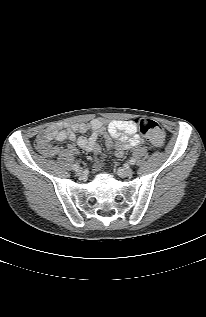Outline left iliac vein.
<instances>
[{"label": "left iliac vein", "mask_w": 206, "mask_h": 317, "mask_svg": "<svg viewBox=\"0 0 206 317\" xmlns=\"http://www.w3.org/2000/svg\"><path fill=\"white\" fill-rule=\"evenodd\" d=\"M117 174L122 177V178H125V177H130L132 176L133 174V170L131 168H119L117 170Z\"/></svg>", "instance_id": "obj_1"}]
</instances>
